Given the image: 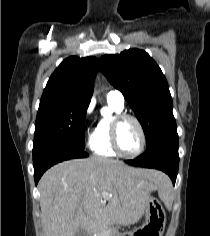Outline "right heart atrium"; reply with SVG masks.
I'll return each mask as SVG.
<instances>
[{
  "label": "right heart atrium",
  "instance_id": "1",
  "mask_svg": "<svg viewBox=\"0 0 210 236\" xmlns=\"http://www.w3.org/2000/svg\"><path fill=\"white\" fill-rule=\"evenodd\" d=\"M93 104H89L84 114V125L87 128L92 121Z\"/></svg>",
  "mask_w": 210,
  "mask_h": 236
}]
</instances>
